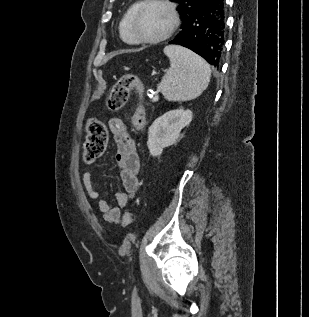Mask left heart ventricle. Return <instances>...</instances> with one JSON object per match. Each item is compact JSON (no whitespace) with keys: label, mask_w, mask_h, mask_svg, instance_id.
I'll return each instance as SVG.
<instances>
[{"label":"left heart ventricle","mask_w":309,"mask_h":317,"mask_svg":"<svg viewBox=\"0 0 309 317\" xmlns=\"http://www.w3.org/2000/svg\"><path fill=\"white\" fill-rule=\"evenodd\" d=\"M171 14L162 5H150L139 16L137 28L146 38H155L164 34L171 24Z\"/></svg>","instance_id":"1"}]
</instances>
